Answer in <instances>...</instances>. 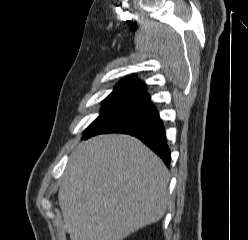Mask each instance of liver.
I'll use <instances>...</instances> for the list:
<instances>
[{
    "label": "liver",
    "instance_id": "1",
    "mask_svg": "<svg viewBox=\"0 0 248 240\" xmlns=\"http://www.w3.org/2000/svg\"><path fill=\"white\" fill-rule=\"evenodd\" d=\"M170 174L135 137H93L72 152L58 200L71 240H123L159 221Z\"/></svg>",
    "mask_w": 248,
    "mask_h": 240
}]
</instances>
